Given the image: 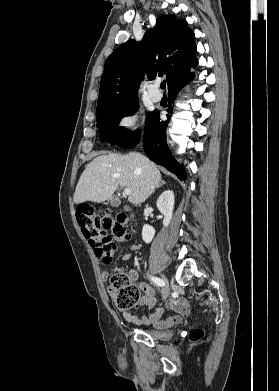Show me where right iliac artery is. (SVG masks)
<instances>
[{
	"mask_svg": "<svg viewBox=\"0 0 279 391\" xmlns=\"http://www.w3.org/2000/svg\"><path fill=\"white\" fill-rule=\"evenodd\" d=\"M151 280L158 286H164L165 283L162 279L158 278V277H151Z\"/></svg>",
	"mask_w": 279,
	"mask_h": 391,
	"instance_id": "1",
	"label": "right iliac artery"
}]
</instances>
